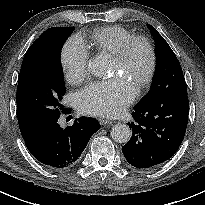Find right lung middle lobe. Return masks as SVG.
<instances>
[{"label": "right lung middle lobe", "instance_id": "1", "mask_svg": "<svg viewBox=\"0 0 205 205\" xmlns=\"http://www.w3.org/2000/svg\"><path fill=\"white\" fill-rule=\"evenodd\" d=\"M71 27L47 29L25 54L17 86V108L38 125L60 114L65 94L61 49L73 32Z\"/></svg>", "mask_w": 205, "mask_h": 205}]
</instances>
